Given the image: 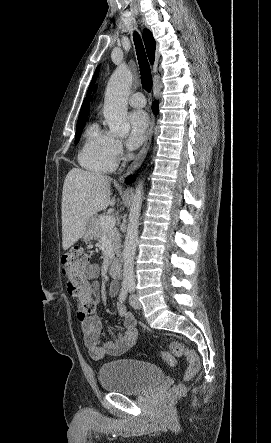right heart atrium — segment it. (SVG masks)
Listing matches in <instances>:
<instances>
[{
  "label": "right heart atrium",
  "mask_w": 271,
  "mask_h": 443,
  "mask_svg": "<svg viewBox=\"0 0 271 443\" xmlns=\"http://www.w3.org/2000/svg\"><path fill=\"white\" fill-rule=\"evenodd\" d=\"M111 152L115 158H118L124 153V141L120 138L113 137L111 143Z\"/></svg>",
  "instance_id": "d8ad5b80"
}]
</instances>
